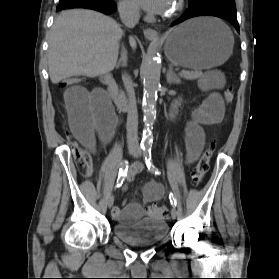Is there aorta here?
<instances>
[{
    "instance_id": "1",
    "label": "aorta",
    "mask_w": 279,
    "mask_h": 279,
    "mask_svg": "<svg viewBox=\"0 0 279 279\" xmlns=\"http://www.w3.org/2000/svg\"><path fill=\"white\" fill-rule=\"evenodd\" d=\"M160 75L161 61L157 56V51L155 49L149 50L143 68L144 96L142 109L146 126L142 140L144 146L150 145L152 140L150 126L153 124L156 116L155 106L160 86Z\"/></svg>"
}]
</instances>
